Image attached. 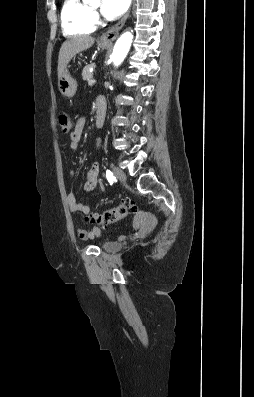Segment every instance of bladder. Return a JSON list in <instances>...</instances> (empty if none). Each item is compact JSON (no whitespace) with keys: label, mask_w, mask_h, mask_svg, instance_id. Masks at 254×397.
<instances>
[{"label":"bladder","mask_w":254,"mask_h":397,"mask_svg":"<svg viewBox=\"0 0 254 397\" xmlns=\"http://www.w3.org/2000/svg\"><path fill=\"white\" fill-rule=\"evenodd\" d=\"M101 248H102L104 251H106V252L113 253V252L119 251L120 248H121V245H120L119 243H116V242L108 241V242H104V243L101 245Z\"/></svg>","instance_id":"bladder-1"}]
</instances>
